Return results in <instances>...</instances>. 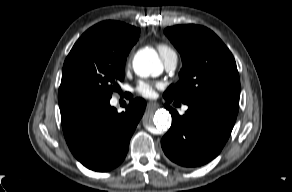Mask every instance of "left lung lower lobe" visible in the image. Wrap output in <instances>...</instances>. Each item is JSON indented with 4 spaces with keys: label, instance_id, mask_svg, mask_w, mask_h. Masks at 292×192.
<instances>
[{
    "label": "left lung lower lobe",
    "instance_id": "obj_1",
    "mask_svg": "<svg viewBox=\"0 0 292 192\" xmlns=\"http://www.w3.org/2000/svg\"><path fill=\"white\" fill-rule=\"evenodd\" d=\"M165 99L172 102L168 97ZM187 105L188 110L180 116L165 104L173 122L163 136L161 146L174 163L183 167H197L208 163L221 152L233 129L238 106L226 103Z\"/></svg>",
    "mask_w": 292,
    "mask_h": 192
}]
</instances>
